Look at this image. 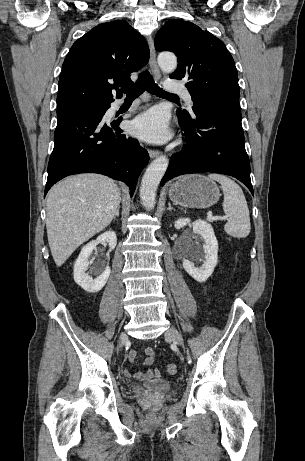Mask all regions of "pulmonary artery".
Returning a JSON list of instances; mask_svg holds the SVG:
<instances>
[{"label":"pulmonary artery","instance_id":"pulmonary-artery-1","mask_svg":"<svg viewBox=\"0 0 305 461\" xmlns=\"http://www.w3.org/2000/svg\"><path fill=\"white\" fill-rule=\"evenodd\" d=\"M166 89L170 92L179 93L183 97L187 105L192 106V97L183 85L172 83L171 80H169L166 84ZM119 105L120 103L117 102L115 104V107H118Z\"/></svg>","mask_w":305,"mask_h":461}]
</instances>
